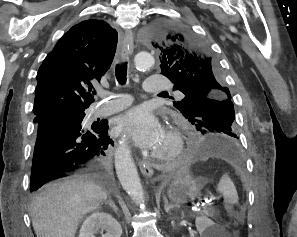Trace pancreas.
<instances>
[{"instance_id": "pancreas-1", "label": "pancreas", "mask_w": 297, "mask_h": 237, "mask_svg": "<svg viewBox=\"0 0 297 237\" xmlns=\"http://www.w3.org/2000/svg\"><path fill=\"white\" fill-rule=\"evenodd\" d=\"M201 215L207 216V217H214L215 215H218L219 212L212 207H205L203 210L200 212Z\"/></svg>"}]
</instances>
